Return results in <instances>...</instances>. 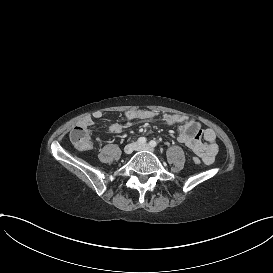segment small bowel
<instances>
[{
	"label": "small bowel",
	"instance_id": "obj_1",
	"mask_svg": "<svg viewBox=\"0 0 273 273\" xmlns=\"http://www.w3.org/2000/svg\"><path fill=\"white\" fill-rule=\"evenodd\" d=\"M159 116L160 114L154 110H129L124 114V122L129 124L135 121H152ZM102 117L103 113L100 110H96L91 115L84 116L81 121L88 122L91 127L94 120L101 119ZM162 119L169 125H179L177 139L201 157L205 164H213L218 152L216 133L213 129L203 128L199 121L180 114L164 113ZM123 128V124L113 123L110 125L109 131L120 133Z\"/></svg>",
	"mask_w": 273,
	"mask_h": 273
}]
</instances>
